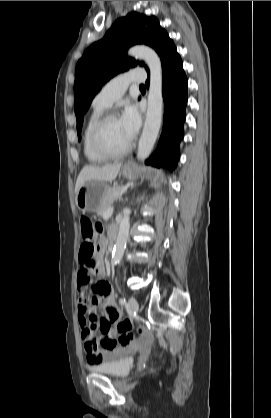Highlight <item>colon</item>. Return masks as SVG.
I'll return each instance as SVG.
<instances>
[{
  "label": "colon",
  "instance_id": "5ec220e1",
  "mask_svg": "<svg viewBox=\"0 0 271 418\" xmlns=\"http://www.w3.org/2000/svg\"><path fill=\"white\" fill-rule=\"evenodd\" d=\"M80 227L83 240L94 241L96 250L101 235V227L99 225L94 224L92 220L86 216H82L80 218ZM130 329L131 322L129 320H123L121 323H119L118 330L122 333V335L119 338V341L121 343L128 344L131 341L133 336L131 333H129ZM140 333L143 334L144 330H140Z\"/></svg>",
  "mask_w": 271,
  "mask_h": 418
}]
</instances>
